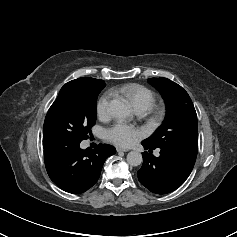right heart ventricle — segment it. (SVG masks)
Here are the masks:
<instances>
[{"label": "right heart ventricle", "instance_id": "1", "mask_svg": "<svg viewBox=\"0 0 237 237\" xmlns=\"http://www.w3.org/2000/svg\"><path fill=\"white\" fill-rule=\"evenodd\" d=\"M125 96L135 109L149 110L154 106L155 97L151 90L137 83H126L116 89Z\"/></svg>", "mask_w": 237, "mask_h": 237}]
</instances>
